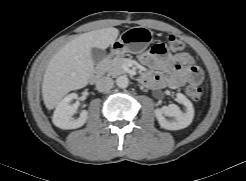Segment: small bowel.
Masks as SVG:
<instances>
[{"label":"small bowel","instance_id":"1","mask_svg":"<svg viewBox=\"0 0 246 181\" xmlns=\"http://www.w3.org/2000/svg\"><path fill=\"white\" fill-rule=\"evenodd\" d=\"M167 53L157 55L149 51L139 56V61L143 65L166 73V75L144 74L142 80L146 86L153 89L179 88L191 80V68L195 66L194 59L187 53L166 55Z\"/></svg>","mask_w":246,"mask_h":181}]
</instances>
